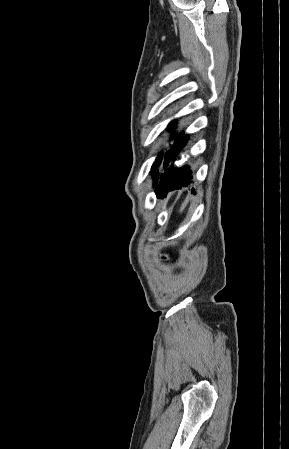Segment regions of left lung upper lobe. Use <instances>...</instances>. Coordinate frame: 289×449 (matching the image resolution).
<instances>
[{"instance_id": "left-lung-upper-lobe-1", "label": "left lung upper lobe", "mask_w": 289, "mask_h": 449, "mask_svg": "<svg viewBox=\"0 0 289 449\" xmlns=\"http://www.w3.org/2000/svg\"><path fill=\"white\" fill-rule=\"evenodd\" d=\"M176 127V121H172L169 123L167 130L168 131H172L174 128ZM175 135L172 136V138H174ZM162 161V153L157 157V159L155 160V163L152 165V172H153V176L158 174V166L161 164Z\"/></svg>"}]
</instances>
